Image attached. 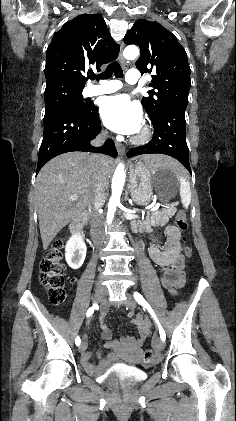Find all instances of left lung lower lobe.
<instances>
[{
  "label": "left lung lower lobe",
  "mask_w": 236,
  "mask_h": 421,
  "mask_svg": "<svg viewBox=\"0 0 236 421\" xmlns=\"http://www.w3.org/2000/svg\"><path fill=\"white\" fill-rule=\"evenodd\" d=\"M185 109L186 106L179 104L166 107L157 118L151 120L154 127L152 140L144 146L130 149L127 157L141 154H166L179 160L191 173L185 137Z\"/></svg>",
  "instance_id": "left-lung-lower-lobe-1"
}]
</instances>
